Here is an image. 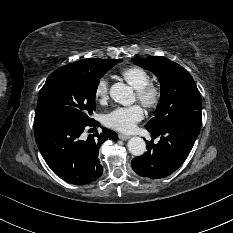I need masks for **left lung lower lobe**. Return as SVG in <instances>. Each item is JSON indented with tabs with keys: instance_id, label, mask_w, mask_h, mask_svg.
Segmentation results:
<instances>
[{
	"instance_id": "obj_1",
	"label": "left lung lower lobe",
	"mask_w": 233,
	"mask_h": 233,
	"mask_svg": "<svg viewBox=\"0 0 233 233\" xmlns=\"http://www.w3.org/2000/svg\"><path fill=\"white\" fill-rule=\"evenodd\" d=\"M201 111H194L170 123L160 131L150 133L161 136L154 144L147 141V152L132 160L133 170L142 177L164 178L175 170L188 157L200 132Z\"/></svg>"
}]
</instances>
